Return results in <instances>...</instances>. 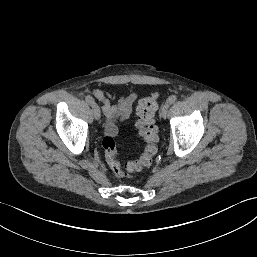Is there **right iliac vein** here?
<instances>
[{"label":"right iliac vein","mask_w":257,"mask_h":257,"mask_svg":"<svg viewBox=\"0 0 257 257\" xmlns=\"http://www.w3.org/2000/svg\"><path fill=\"white\" fill-rule=\"evenodd\" d=\"M92 108H93V115H94V118H95L96 120H99L100 117H101V111H100L99 106H98L97 104H94V105L92 106Z\"/></svg>","instance_id":"obj_1"}]
</instances>
